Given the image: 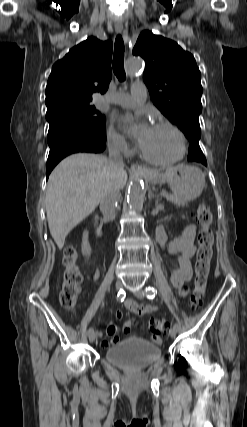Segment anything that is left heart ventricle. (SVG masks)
Here are the masks:
<instances>
[{
  "label": "left heart ventricle",
  "mask_w": 247,
  "mask_h": 427,
  "mask_svg": "<svg viewBox=\"0 0 247 427\" xmlns=\"http://www.w3.org/2000/svg\"><path fill=\"white\" fill-rule=\"evenodd\" d=\"M141 148L156 159L174 157L179 149L176 135L168 128L153 127L146 136Z\"/></svg>",
  "instance_id": "1"
}]
</instances>
